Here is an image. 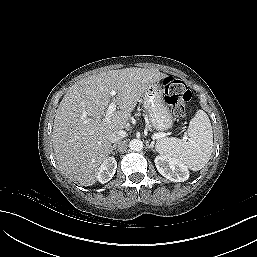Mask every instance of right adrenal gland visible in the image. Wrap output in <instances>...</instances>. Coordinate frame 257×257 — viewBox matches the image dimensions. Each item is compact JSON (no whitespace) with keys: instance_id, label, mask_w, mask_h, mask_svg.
I'll return each mask as SVG.
<instances>
[{"instance_id":"obj_1","label":"right adrenal gland","mask_w":257,"mask_h":257,"mask_svg":"<svg viewBox=\"0 0 257 257\" xmlns=\"http://www.w3.org/2000/svg\"><path fill=\"white\" fill-rule=\"evenodd\" d=\"M114 150H116V144H114L113 146H112V148H111V152L114 154Z\"/></svg>"}]
</instances>
